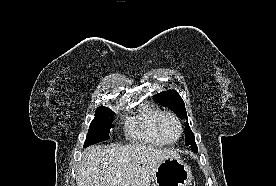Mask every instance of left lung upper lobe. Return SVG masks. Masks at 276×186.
I'll use <instances>...</instances> for the list:
<instances>
[{
	"label": "left lung upper lobe",
	"instance_id": "obj_1",
	"mask_svg": "<svg viewBox=\"0 0 276 186\" xmlns=\"http://www.w3.org/2000/svg\"><path fill=\"white\" fill-rule=\"evenodd\" d=\"M154 99L161 105L168 107L170 110L174 111L180 118H187V112L185 109V104L180 95L176 90H168L161 92L154 96ZM186 131V145H190L192 149L197 148L195 143L194 134L191 131L188 122L185 125Z\"/></svg>",
	"mask_w": 276,
	"mask_h": 186
}]
</instances>
